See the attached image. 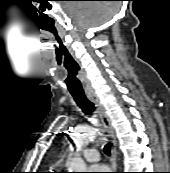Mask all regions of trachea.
Listing matches in <instances>:
<instances>
[{
	"label": "trachea",
	"instance_id": "trachea-1",
	"mask_svg": "<svg viewBox=\"0 0 170 173\" xmlns=\"http://www.w3.org/2000/svg\"><path fill=\"white\" fill-rule=\"evenodd\" d=\"M75 102L77 103V105L81 108V110L83 111V113L87 114V115H92L95 107L94 104L86 97V95L84 93H77V94H72ZM104 153L108 156H110L111 154V144H107L104 147Z\"/></svg>",
	"mask_w": 170,
	"mask_h": 173
}]
</instances>
